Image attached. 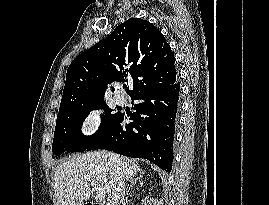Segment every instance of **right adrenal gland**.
<instances>
[{
  "label": "right adrenal gland",
  "mask_w": 269,
  "mask_h": 205,
  "mask_svg": "<svg viewBox=\"0 0 269 205\" xmlns=\"http://www.w3.org/2000/svg\"><path fill=\"white\" fill-rule=\"evenodd\" d=\"M142 177H143V173L142 171L140 170L139 171V175L133 179H131L130 181V186L127 188L126 190V194L129 193V191L133 188V186L136 184V183H140L142 185Z\"/></svg>",
  "instance_id": "2a0ac1e0"
}]
</instances>
